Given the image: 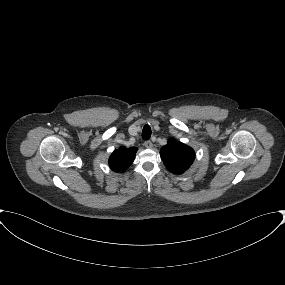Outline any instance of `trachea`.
<instances>
[{
  "label": "trachea",
  "mask_w": 285,
  "mask_h": 285,
  "mask_svg": "<svg viewBox=\"0 0 285 285\" xmlns=\"http://www.w3.org/2000/svg\"><path fill=\"white\" fill-rule=\"evenodd\" d=\"M151 137V128L149 125H145L142 130V139L149 140Z\"/></svg>",
  "instance_id": "1"
}]
</instances>
